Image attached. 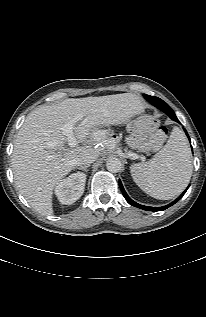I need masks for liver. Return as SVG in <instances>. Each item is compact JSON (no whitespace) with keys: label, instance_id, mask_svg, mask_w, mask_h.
Wrapping results in <instances>:
<instances>
[{"label":"liver","instance_id":"liver-1","mask_svg":"<svg viewBox=\"0 0 206 317\" xmlns=\"http://www.w3.org/2000/svg\"><path fill=\"white\" fill-rule=\"evenodd\" d=\"M144 112L141 99L132 93L69 98L33 110L19 129L14 142L12 170L19 192L38 213L53 214L55 186L71 172L75 160L85 154H99L95 142L104 138L93 131L101 126L119 125ZM71 121L74 136L88 145L66 148L61 128Z\"/></svg>","mask_w":206,"mask_h":317}]
</instances>
